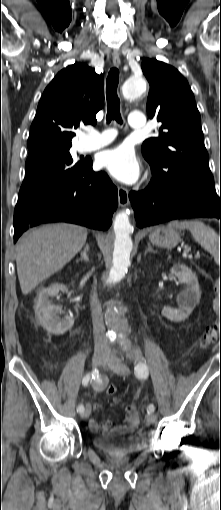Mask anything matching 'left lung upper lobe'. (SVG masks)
Masks as SVG:
<instances>
[{
	"label": "left lung upper lobe",
	"mask_w": 221,
	"mask_h": 510,
	"mask_svg": "<svg viewBox=\"0 0 221 510\" xmlns=\"http://www.w3.org/2000/svg\"><path fill=\"white\" fill-rule=\"evenodd\" d=\"M141 67L150 84L148 116L162 122L159 136L142 145L155 181L162 188H215L200 114L187 80L174 67L156 59H145Z\"/></svg>",
	"instance_id": "1"
}]
</instances>
